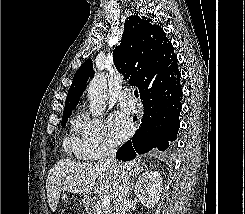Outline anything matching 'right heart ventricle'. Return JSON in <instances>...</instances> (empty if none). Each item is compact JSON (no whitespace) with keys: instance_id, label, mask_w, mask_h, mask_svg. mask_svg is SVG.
Instances as JSON below:
<instances>
[{"instance_id":"1","label":"right heart ventricle","mask_w":245,"mask_h":214,"mask_svg":"<svg viewBox=\"0 0 245 214\" xmlns=\"http://www.w3.org/2000/svg\"><path fill=\"white\" fill-rule=\"evenodd\" d=\"M64 149L69 153L77 154V139L74 135H67L63 141Z\"/></svg>"}]
</instances>
